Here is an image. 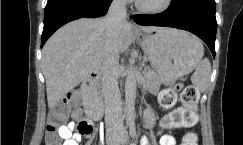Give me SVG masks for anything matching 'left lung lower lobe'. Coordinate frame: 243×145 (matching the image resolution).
I'll list each match as a JSON object with an SVG mask.
<instances>
[{
    "mask_svg": "<svg viewBox=\"0 0 243 145\" xmlns=\"http://www.w3.org/2000/svg\"><path fill=\"white\" fill-rule=\"evenodd\" d=\"M134 21L140 25L174 27L190 31L200 37L210 48L215 57V38L217 22L215 13H193L177 5L159 14L134 15Z\"/></svg>",
    "mask_w": 243,
    "mask_h": 145,
    "instance_id": "0a47b994",
    "label": "left lung lower lobe"
}]
</instances>
